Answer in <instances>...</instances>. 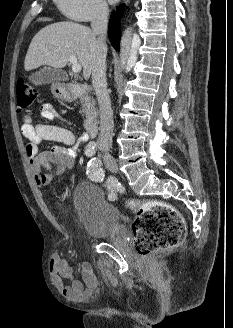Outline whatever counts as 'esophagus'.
I'll return each mask as SVG.
<instances>
[{
  "mask_svg": "<svg viewBox=\"0 0 233 328\" xmlns=\"http://www.w3.org/2000/svg\"><path fill=\"white\" fill-rule=\"evenodd\" d=\"M129 2H130V0H124V3H125L126 5H128Z\"/></svg>",
  "mask_w": 233,
  "mask_h": 328,
  "instance_id": "1",
  "label": "esophagus"
}]
</instances>
